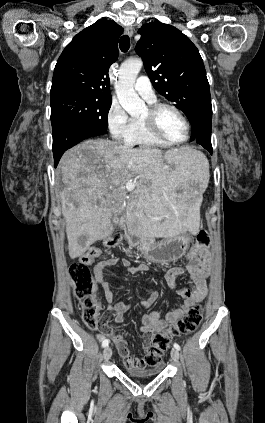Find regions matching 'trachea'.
Listing matches in <instances>:
<instances>
[{"label":"trachea","instance_id":"trachea-1","mask_svg":"<svg viewBox=\"0 0 265 423\" xmlns=\"http://www.w3.org/2000/svg\"><path fill=\"white\" fill-rule=\"evenodd\" d=\"M119 47L122 52H127L130 48V38L128 35H123L119 40Z\"/></svg>","mask_w":265,"mask_h":423}]
</instances>
